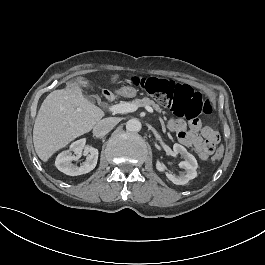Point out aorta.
Here are the masks:
<instances>
[{
	"label": "aorta",
	"instance_id": "762f6f07",
	"mask_svg": "<svg viewBox=\"0 0 265 265\" xmlns=\"http://www.w3.org/2000/svg\"><path fill=\"white\" fill-rule=\"evenodd\" d=\"M126 129L130 132H138L141 129V123L138 119H130L126 122Z\"/></svg>",
	"mask_w": 265,
	"mask_h": 265
}]
</instances>
